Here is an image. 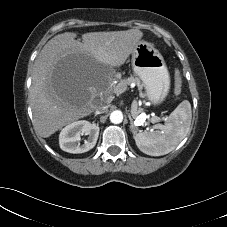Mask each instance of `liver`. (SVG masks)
<instances>
[{
	"label": "liver",
	"mask_w": 227,
	"mask_h": 227,
	"mask_svg": "<svg viewBox=\"0 0 227 227\" xmlns=\"http://www.w3.org/2000/svg\"><path fill=\"white\" fill-rule=\"evenodd\" d=\"M76 33L65 32L50 39L37 56L32 73L30 101L33 125L38 135L47 138L70 122L88 116L94 96H107L109 88L93 72L96 64L119 67L125 63L143 37L138 29L90 32L76 40ZM68 54L82 57L89 68L86 91L75 98L61 95L53 86L52 75L57 61Z\"/></svg>",
	"instance_id": "1"
}]
</instances>
